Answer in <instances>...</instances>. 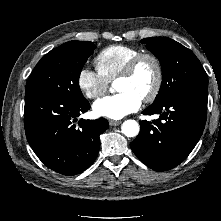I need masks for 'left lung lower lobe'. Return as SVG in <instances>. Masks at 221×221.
Listing matches in <instances>:
<instances>
[{
  "label": "left lung lower lobe",
  "mask_w": 221,
  "mask_h": 221,
  "mask_svg": "<svg viewBox=\"0 0 221 221\" xmlns=\"http://www.w3.org/2000/svg\"><path fill=\"white\" fill-rule=\"evenodd\" d=\"M207 100V87H192L150 105L142 113L159 114L160 119L140 123V133L130 143L132 151L155 171H167L179 165L203 133Z\"/></svg>",
  "instance_id": "obj_1"
}]
</instances>
